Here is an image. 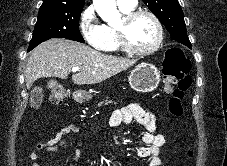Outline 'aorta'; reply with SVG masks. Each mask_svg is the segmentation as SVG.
<instances>
[{
	"instance_id": "aorta-1",
	"label": "aorta",
	"mask_w": 227,
	"mask_h": 166,
	"mask_svg": "<svg viewBox=\"0 0 227 166\" xmlns=\"http://www.w3.org/2000/svg\"><path fill=\"white\" fill-rule=\"evenodd\" d=\"M98 15L109 25L117 23L121 15L117 10L115 0H93Z\"/></svg>"
}]
</instances>
